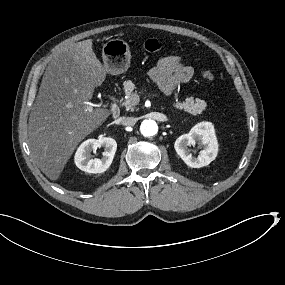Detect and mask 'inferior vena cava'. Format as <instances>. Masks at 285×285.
Here are the masks:
<instances>
[{
  "label": "inferior vena cava",
  "instance_id": "1",
  "mask_svg": "<svg viewBox=\"0 0 285 285\" xmlns=\"http://www.w3.org/2000/svg\"><path fill=\"white\" fill-rule=\"evenodd\" d=\"M135 118L123 116L120 118V123L125 126H133L135 124Z\"/></svg>",
  "mask_w": 285,
  "mask_h": 285
}]
</instances>
